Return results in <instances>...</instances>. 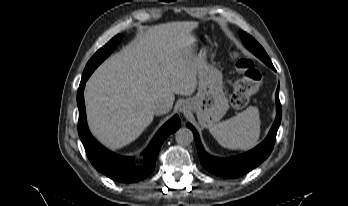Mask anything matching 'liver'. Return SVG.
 Returning <instances> with one entry per match:
<instances>
[{"label": "liver", "mask_w": 348, "mask_h": 206, "mask_svg": "<svg viewBox=\"0 0 348 206\" xmlns=\"http://www.w3.org/2000/svg\"><path fill=\"white\" fill-rule=\"evenodd\" d=\"M195 22L149 27L108 57L85 87L87 122L93 136L115 151L133 142L154 118V107L170 109L175 96L191 95L201 58L190 48Z\"/></svg>", "instance_id": "1"}]
</instances>
